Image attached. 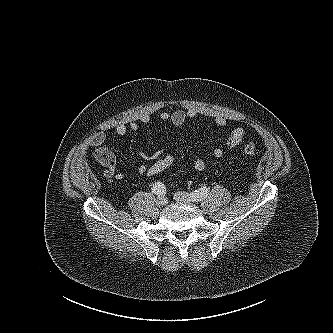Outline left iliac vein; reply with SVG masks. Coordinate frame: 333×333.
Segmentation results:
<instances>
[{
	"mask_svg": "<svg viewBox=\"0 0 333 333\" xmlns=\"http://www.w3.org/2000/svg\"><path fill=\"white\" fill-rule=\"evenodd\" d=\"M174 199L178 202L192 203L194 202V197L186 192H176L174 194Z\"/></svg>",
	"mask_w": 333,
	"mask_h": 333,
	"instance_id": "4c4485c4",
	"label": "left iliac vein"
}]
</instances>
